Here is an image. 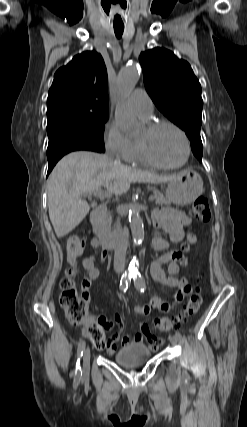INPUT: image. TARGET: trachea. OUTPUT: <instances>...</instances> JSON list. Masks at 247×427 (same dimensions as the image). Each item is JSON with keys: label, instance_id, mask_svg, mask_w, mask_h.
<instances>
[{"label": "trachea", "instance_id": "3493384b", "mask_svg": "<svg viewBox=\"0 0 247 427\" xmlns=\"http://www.w3.org/2000/svg\"><path fill=\"white\" fill-rule=\"evenodd\" d=\"M124 31V25H114V32L117 38H121Z\"/></svg>", "mask_w": 247, "mask_h": 427}]
</instances>
